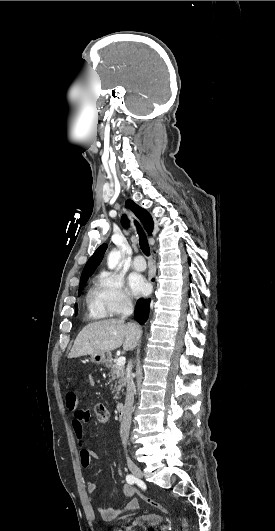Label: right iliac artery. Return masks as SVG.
<instances>
[{
	"label": "right iliac artery",
	"mask_w": 275,
	"mask_h": 531,
	"mask_svg": "<svg viewBox=\"0 0 275 531\" xmlns=\"http://www.w3.org/2000/svg\"><path fill=\"white\" fill-rule=\"evenodd\" d=\"M135 477L133 475H127L126 476V481L129 483V484H133L135 482Z\"/></svg>",
	"instance_id": "82829eb1"
}]
</instances>
